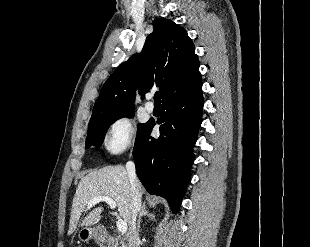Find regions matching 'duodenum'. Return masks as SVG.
<instances>
[{"mask_svg": "<svg viewBox=\"0 0 310 247\" xmlns=\"http://www.w3.org/2000/svg\"><path fill=\"white\" fill-rule=\"evenodd\" d=\"M114 242V239L111 236H106L103 240H102V244L105 247H108L110 245H112Z\"/></svg>", "mask_w": 310, "mask_h": 247, "instance_id": "duodenum-1", "label": "duodenum"}]
</instances>
